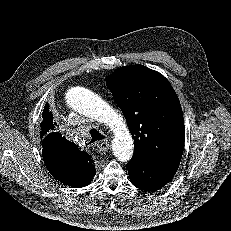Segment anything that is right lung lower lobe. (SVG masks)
Returning <instances> with one entry per match:
<instances>
[{
  "instance_id": "obj_1",
  "label": "right lung lower lobe",
  "mask_w": 231,
  "mask_h": 231,
  "mask_svg": "<svg viewBox=\"0 0 231 231\" xmlns=\"http://www.w3.org/2000/svg\"><path fill=\"white\" fill-rule=\"evenodd\" d=\"M96 174V169H95V167H94V175Z\"/></svg>"
}]
</instances>
